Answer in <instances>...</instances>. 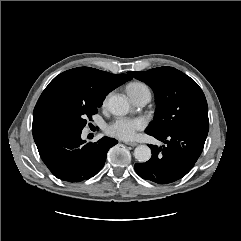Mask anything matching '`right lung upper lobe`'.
Listing matches in <instances>:
<instances>
[{
  "instance_id": "1",
  "label": "right lung upper lobe",
  "mask_w": 241,
  "mask_h": 241,
  "mask_svg": "<svg viewBox=\"0 0 241 241\" xmlns=\"http://www.w3.org/2000/svg\"><path fill=\"white\" fill-rule=\"evenodd\" d=\"M127 74H111L90 67H78L56 76L42 92L37 104L53 96L84 103H102L106 95L131 80Z\"/></svg>"
}]
</instances>
